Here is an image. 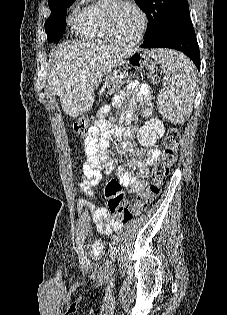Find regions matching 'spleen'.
I'll return each instance as SVG.
<instances>
[{"mask_svg":"<svg viewBox=\"0 0 227 315\" xmlns=\"http://www.w3.org/2000/svg\"><path fill=\"white\" fill-rule=\"evenodd\" d=\"M150 55L163 69V89L157 98L160 114L176 123L185 122L193 107L196 73L192 63L173 50L157 49Z\"/></svg>","mask_w":227,"mask_h":315,"instance_id":"obj_1","label":"spleen"}]
</instances>
